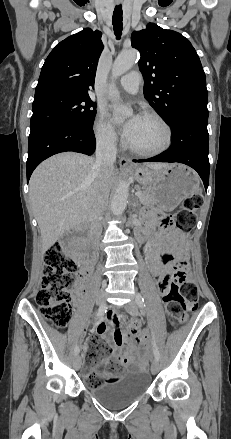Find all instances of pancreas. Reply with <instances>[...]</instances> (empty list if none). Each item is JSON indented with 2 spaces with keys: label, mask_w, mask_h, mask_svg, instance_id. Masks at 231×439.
<instances>
[{
  "label": "pancreas",
  "mask_w": 231,
  "mask_h": 439,
  "mask_svg": "<svg viewBox=\"0 0 231 439\" xmlns=\"http://www.w3.org/2000/svg\"><path fill=\"white\" fill-rule=\"evenodd\" d=\"M139 192L141 193L139 200L142 204H146V205L155 204V197L148 190H142Z\"/></svg>",
  "instance_id": "1"
}]
</instances>
